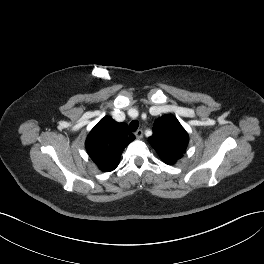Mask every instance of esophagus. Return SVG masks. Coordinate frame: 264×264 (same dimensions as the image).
<instances>
[{"mask_svg": "<svg viewBox=\"0 0 264 264\" xmlns=\"http://www.w3.org/2000/svg\"><path fill=\"white\" fill-rule=\"evenodd\" d=\"M134 134H135L137 139H141L143 137V130L138 129Z\"/></svg>", "mask_w": 264, "mask_h": 264, "instance_id": "1", "label": "esophagus"}]
</instances>
